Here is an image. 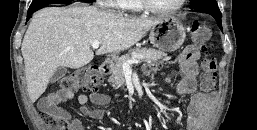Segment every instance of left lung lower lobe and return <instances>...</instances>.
<instances>
[{
  "label": "left lung lower lobe",
  "instance_id": "obj_1",
  "mask_svg": "<svg viewBox=\"0 0 257 130\" xmlns=\"http://www.w3.org/2000/svg\"><path fill=\"white\" fill-rule=\"evenodd\" d=\"M213 17L218 21L219 27L222 29L221 14L220 15H213Z\"/></svg>",
  "mask_w": 257,
  "mask_h": 130
}]
</instances>
